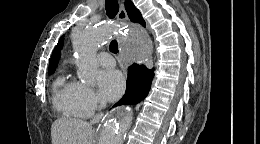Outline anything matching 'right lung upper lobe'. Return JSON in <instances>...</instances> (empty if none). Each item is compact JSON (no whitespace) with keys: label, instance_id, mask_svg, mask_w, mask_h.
Listing matches in <instances>:
<instances>
[{"label":"right lung upper lobe","instance_id":"obj_1","mask_svg":"<svg viewBox=\"0 0 260 144\" xmlns=\"http://www.w3.org/2000/svg\"><path fill=\"white\" fill-rule=\"evenodd\" d=\"M125 9L127 11L128 17L130 18L131 21L138 22L141 25L145 26V21L142 18L140 11L134 6L132 1H130V0L125 1ZM63 39H64V36H62L60 38L57 46L53 50L52 56L49 61V71L55 70V67H56L58 60L60 58V55H61L60 50L62 49V46H63Z\"/></svg>","mask_w":260,"mask_h":144}]
</instances>
